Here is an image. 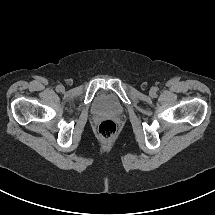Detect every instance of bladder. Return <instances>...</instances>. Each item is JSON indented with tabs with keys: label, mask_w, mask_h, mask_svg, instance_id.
<instances>
[{
	"label": "bladder",
	"mask_w": 215,
	"mask_h": 215,
	"mask_svg": "<svg viewBox=\"0 0 215 215\" xmlns=\"http://www.w3.org/2000/svg\"><path fill=\"white\" fill-rule=\"evenodd\" d=\"M93 110L98 114L121 115L123 106L118 99L111 94L101 93L93 101Z\"/></svg>",
	"instance_id": "31cf9c89"
}]
</instances>
